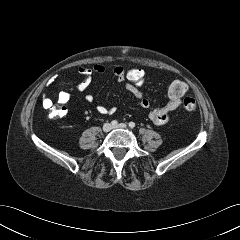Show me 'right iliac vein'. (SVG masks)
I'll return each mask as SVG.
<instances>
[{"mask_svg":"<svg viewBox=\"0 0 240 240\" xmlns=\"http://www.w3.org/2000/svg\"><path fill=\"white\" fill-rule=\"evenodd\" d=\"M112 126L110 123H105L102 127L104 132H109L111 130Z\"/></svg>","mask_w":240,"mask_h":240,"instance_id":"obj_1","label":"right iliac vein"}]
</instances>
